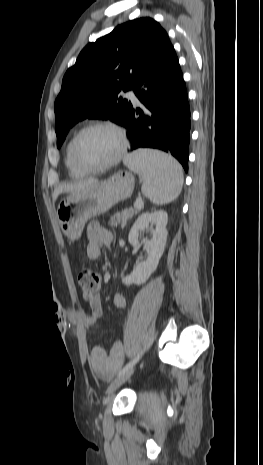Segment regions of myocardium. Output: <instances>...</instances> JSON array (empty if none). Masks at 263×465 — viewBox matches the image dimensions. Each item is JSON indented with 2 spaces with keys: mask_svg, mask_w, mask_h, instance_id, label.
<instances>
[{
  "mask_svg": "<svg viewBox=\"0 0 263 465\" xmlns=\"http://www.w3.org/2000/svg\"><path fill=\"white\" fill-rule=\"evenodd\" d=\"M95 128H107V129L112 130L117 135L120 145H119L118 152L113 159H111L110 161L102 165L90 167V166L84 165L80 161L78 157V143L84 133H86L89 130L95 129ZM127 147H128L127 136H126L124 129L121 126L111 121H103V120L94 121L82 127L73 137L72 144H71V157H72L73 163L80 171L86 174L87 173H99L107 169H110L111 167L118 164L121 161V159L124 157L127 151Z\"/></svg>",
  "mask_w": 263,
  "mask_h": 465,
  "instance_id": "obj_1",
  "label": "myocardium"
}]
</instances>
